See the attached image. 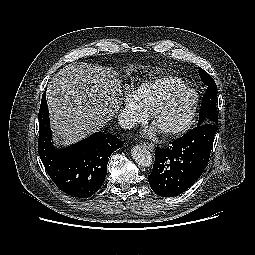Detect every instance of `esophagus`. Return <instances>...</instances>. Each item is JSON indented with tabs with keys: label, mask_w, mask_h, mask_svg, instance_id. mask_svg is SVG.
I'll return each instance as SVG.
<instances>
[{
	"label": "esophagus",
	"mask_w": 255,
	"mask_h": 255,
	"mask_svg": "<svg viewBox=\"0 0 255 255\" xmlns=\"http://www.w3.org/2000/svg\"><path fill=\"white\" fill-rule=\"evenodd\" d=\"M142 145H143L145 148H147L148 150H150V151H154V149H155V146H154V144H152V143L143 142Z\"/></svg>",
	"instance_id": "obj_1"
}]
</instances>
